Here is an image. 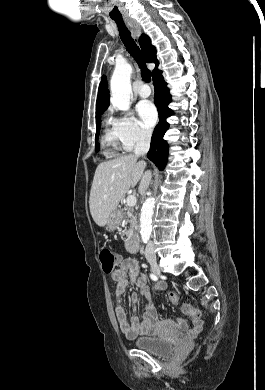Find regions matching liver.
<instances>
[{"label": "liver", "mask_w": 265, "mask_h": 390, "mask_svg": "<svg viewBox=\"0 0 265 390\" xmlns=\"http://www.w3.org/2000/svg\"><path fill=\"white\" fill-rule=\"evenodd\" d=\"M146 163L134 154L100 163L95 171L89 198L94 222L103 227L117 209L121 198L144 176Z\"/></svg>", "instance_id": "liver-1"}]
</instances>
